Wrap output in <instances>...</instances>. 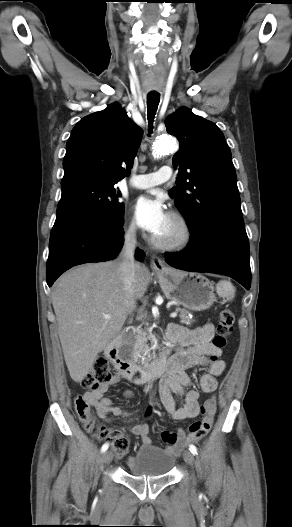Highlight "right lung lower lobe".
<instances>
[{"mask_svg": "<svg viewBox=\"0 0 292 527\" xmlns=\"http://www.w3.org/2000/svg\"><path fill=\"white\" fill-rule=\"evenodd\" d=\"M123 221L108 222L90 212L67 209L57 212L51 231L47 260V284L73 266L114 259L124 242ZM136 249V258L144 259Z\"/></svg>", "mask_w": 292, "mask_h": 527, "instance_id": "obj_1", "label": "right lung lower lobe"}]
</instances>
